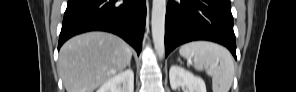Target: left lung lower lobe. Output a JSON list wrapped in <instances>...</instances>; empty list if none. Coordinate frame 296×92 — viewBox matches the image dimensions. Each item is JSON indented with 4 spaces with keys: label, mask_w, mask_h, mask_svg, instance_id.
<instances>
[{
    "label": "left lung lower lobe",
    "mask_w": 296,
    "mask_h": 92,
    "mask_svg": "<svg viewBox=\"0 0 296 92\" xmlns=\"http://www.w3.org/2000/svg\"><path fill=\"white\" fill-rule=\"evenodd\" d=\"M194 40L222 44L236 59L230 0H169L165 18L166 57L177 46Z\"/></svg>",
    "instance_id": "0a47b994"
}]
</instances>
